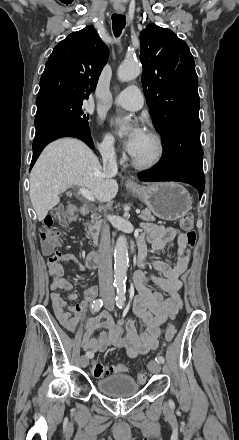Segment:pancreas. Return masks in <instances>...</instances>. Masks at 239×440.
<instances>
[{
	"mask_svg": "<svg viewBox=\"0 0 239 440\" xmlns=\"http://www.w3.org/2000/svg\"><path fill=\"white\" fill-rule=\"evenodd\" d=\"M139 218L140 220H144V222H155L156 220V218L152 216L150 210H142ZM101 228H102V220H99L96 214H92L91 220L88 224L87 238L88 240H93L94 246H97L98 244V238Z\"/></svg>",
	"mask_w": 239,
	"mask_h": 440,
	"instance_id": "pancreas-1",
	"label": "pancreas"
}]
</instances>
